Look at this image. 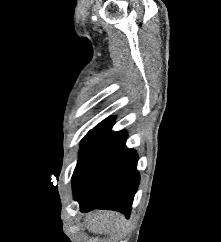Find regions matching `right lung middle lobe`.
<instances>
[{
	"mask_svg": "<svg viewBox=\"0 0 221 242\" xmlns=\"http://www.w3.org/2000/svg\"><path fill=\"white\" fill-rule=\"evenodd\" d=\"M97 129H99V127H95L94 129H92V130H90L89 132H88V134L84 137V139L82 140V142H81V144H83L84 142H85V140L93 133V132H95Z\"/></svg>",
	"mask_w": 221,
	"mask_h": 242,
	"instance_id": "dd1d6c3e",
	"label": "right lung middle lobe"
}]
</instances>
